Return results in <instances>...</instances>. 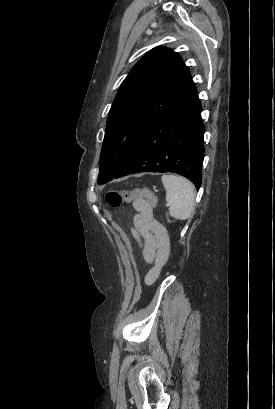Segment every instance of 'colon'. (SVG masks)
Returning a JSON list of instances; mask_svg holds the SVG:
<instances>
[{
	"label": "colon",
	"mask_w": 275,
	"mask_h": 409,
	"mask_svg": "<svg viewBox=\"0 0 275 409\" xmlns=\"http://www.w3.org/2000/svg\"><path fill=\"white\" fill-rule=\"evenodd\" d=\"M139 199H145L152 208H156L158 205L157 197L148 188L124 191L111 190L105 195L106 202L113 208L120 207L123 202L129 203L138 201Z\"/></svg>",
	"instance_id": "obj_1"
}]
</instances>
